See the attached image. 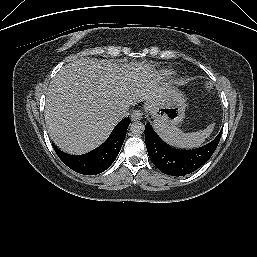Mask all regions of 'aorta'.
I'll use <instances>...</instances> for the list:
<instances>
[{"mask_svg":"<svg viewBox=\"0 0 257 257\" xmlns=\"http://www.w3.org/2000/svg\"><path fill=\"white\" fill-rule=\"evenodd\" d=\"M130 130L134 135H140L144 132L145 126L142 122L135 121V122L131 123Z\"/></svg>","mask_w":257,"mask_h":257,"instance_id":"aorta-1","label":"aorta"}]
</instances>
